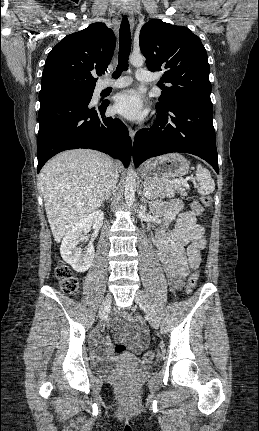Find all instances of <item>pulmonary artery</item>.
<instances>
[{
  "label": "pulmonary artery",
  "instance_id": "obj_1",
  "mask_svg": "<svg viewBox=\"0 0 259 431\" xmlns=\"http://www.w3.org/2000/svg\"><path fill=\"white\" fill-rule=\"evenodd\" d=\"M136 78L140 82H151L153 81L152 74L145 69H138L136 73ZM131 79L127 76H123L114 81H105L103 82L99 90H104L107 88H123L130 85Z\"/></svg>",
  "mask_w": 259,
  "mask_h": 431
}]
</instances>
